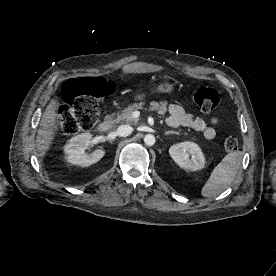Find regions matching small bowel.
<instances>
[{
    "label": "small bowel",
    "instance_id": "c3829d8e",
    "mask_svg": "<svg viewBox=\"0 0 276 276\" xmlns=\"http://www.w3.org/2000/svg\"><path fill=\"white\" fill-rule=\"evenodd\" d=\"M167 123L172 127L184 126L199 131L207 140L216 137V127L220 124V119L216 116L210 118L209 121L200 117H194L187 113L185 109L177 104L168 106Z\"/></svg>",
    "mask_w": 276,
    "mask_h": 276
}]
</instances>
